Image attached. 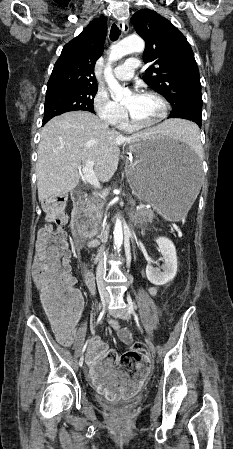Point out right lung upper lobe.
<instances>
[{"label": "right lung upper lobe", "mask_w": 233, "mask_h": 449, "mask_svg": "<svg viewBox=\"0 0 233 449\" xmlns=\"http://www.w3.org/2000/svg\"><path fill=\"white\" fill-rule=\"evenodd\" d=\"M106 21L105 17L91 21L64 46L49 78L46 94L62 89L97 87L94 66L103 52Z\"/></svg>", "instance_id": "cb5924a9"}]
</instances>
